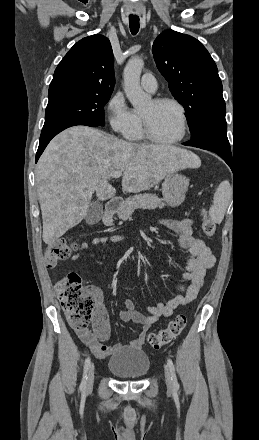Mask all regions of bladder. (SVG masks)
<instances>
[{
	"mask_svg": "<svg viewBox=\"0 0 259 440\" xmlns=\"http://www.w3.org/2000/svg\"><path fill=\"white\" fill-rule=\"evenodd\" d=\"M107 368L120 379L138 380L148 373L150 360L140 348L119 347L108 359Z\"/></svg>",
	"mask_w": 259,
	"mask_h": 440,
	"instance_id": "bladder-1",
	"label": "bladder"
}]
</instances>
